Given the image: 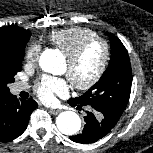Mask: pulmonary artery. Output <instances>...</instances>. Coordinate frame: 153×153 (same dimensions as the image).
<instances>
[{"mask_svg": "<svg viewBox=\"0 0 153 153\" xmlns=\"http://www.w3.org/2000/svg\"><path fill=\"white\" fill-rule=\"evenodd\" d=\"M26 88H27V86L25 84H23V83H16L14 85V87H13V91L15 93H19V92L25 90Z\"/></svg>", "mask_w": 153, "mask_h": 153, "instance_id": "obj_1", "label": "pulmonary artery"}]
</instances>
